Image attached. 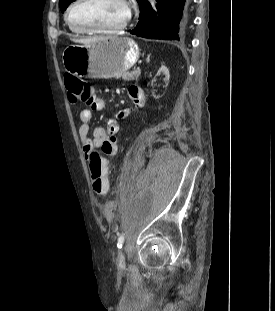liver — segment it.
I'll return each instance as SVG.
<instances>
[{
  "mask_svg": "<svg viewBox=\"0 0 275 311\" xmlns=\"http://www.w3.org/2000/svg\"><path fill=\"white\" fill-rule=\"evenodd\" d=\"M105 38H110V37H93V38H89V39H80L77 41L80 43H83V44H90L92 42H95V41L100 40V39H105Z\"/></svg>",
  "mask_w": 275,
  "mask_h": 311,
  "instance_id": "6515ba94",
  "label": "liver"
}]
</instances>
